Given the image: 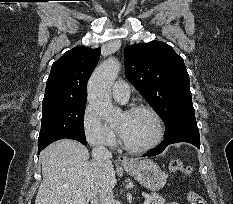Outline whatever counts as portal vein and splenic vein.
<instances>
[{
	"mask_svg": "<svg viewBox=\"0 0 233 204\" xmlns=\"http://www.w3.org/2000/svg\"><path fill=\"white\" fill-rule=\"evenodd\" d=\"M150 203H151L150 199H146V200L144 201V204H150Z\"/></svg>",
	"mask_w": 233,
	"mask_h": 204,
	"instance_id": "portal-vein-and-splenic-vein-1",
	"label": "portal vein and splenic vein"
}]
</instances>
